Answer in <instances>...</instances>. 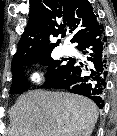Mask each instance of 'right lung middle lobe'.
Returning <instances> with one entry per match:
<instances>
[{"mask_svg":"<svg viewBox=\"0 0 117 136\" xmlns=\"http://www.w3.org/2000/svg\"><path fill=\"white\" fill-rule=\"evenodd\" d=\"M36 62H40L43 65L49 66L48 72L45 76L46 80L56 75L65 65L60 60H53L49 55L18 66L17 68L12 70L13 80L10 88V93L19 94L28 88V81L24 80L25 78L24 66H30L31 64H34Z\"/></svg>","mask_w":117,"mask_h":136,"instance_id":"1","label":"right lung middle lobe"}]
</instances>
